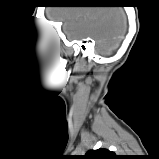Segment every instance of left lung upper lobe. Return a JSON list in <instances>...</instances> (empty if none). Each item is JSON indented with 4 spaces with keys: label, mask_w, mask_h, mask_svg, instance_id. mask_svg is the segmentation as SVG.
I'll return each instance as SVG.
<instances>
[{
    "label": "left lung upper lobe",
    "mask_w": 159,
    "mask_h": 159,
    "mask_svg": "<svg viewBox=\"0 0 159 159\" xmlns=\"http://www.w3.org/2000/svg\"><path fill=\"white\" fill-rule=\"evenodd\" d=\"M80 159H120V156L107 149H98L88 151L84 156H81Z\"/></svg>",
    "instance_id": "5c2ea615"
}]
</instances>
